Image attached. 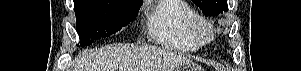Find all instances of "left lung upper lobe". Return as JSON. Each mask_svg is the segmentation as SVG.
<instances>
[{
  "label": "left lung upper lobe",
  "instance_id": "left-lung-upper-lobe-1",
  "mask_svg": "<svg viewBox=\"0 0 301 71\" xmlns=\"http://www.w3.org/2000/svg\"><path fill=\"white\" fill-rule=\"evenodd\" d=\"M206 16H217L228 10L227 0H192Z\"/></svg>",
  "mask_w": 301,
  "mask_h": 71
}]
</instances>
